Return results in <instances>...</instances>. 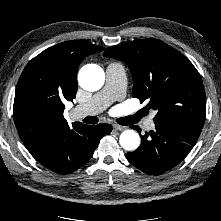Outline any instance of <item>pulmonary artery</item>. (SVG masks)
I'll return each instance as SVG.
<instances>
[{"instance_id":"e3ab8cb5","label":"pulmonary artery","mask_w":221,"mask_h":221,"mask_svg":"<svg viewBox=\"0 0 221 221\" xmlns=\"http://www.w3.org/2000/svg\"><path fill=\"white\" fill-rule=\"evenodd\" d=\"M125 70L120 63L111 62L106 67V81L104 87L94 94L92 98L86 103L76 107L73 111L75 117H84L88 115H95L114 101L120 100L125 95ZM148 130L155 127L153 116H151L145 123Z\"/></svg>"}]
</instances>
